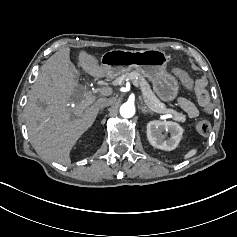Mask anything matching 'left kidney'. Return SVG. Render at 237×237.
Wrapping results in <instances>:
<instances>
[{
  "label": "left kidney",
  "instance_id": "1",
  "mask_svg": "<svg viewBox=\"0 0 237 237\" xmlns=\"http://www.w3.org/2000/svg\"><path fill=\"white\" fill-rule=\"evenodd\" d=\"M169 134L165 138L162 133ZM183 134V129L179 124L167 121H151L147 124V137L149 143L161 150L171 151L174 150Z\"/></svg>",
  "mask_w": 237,
  "mask_h": 237
}]
</instances>
